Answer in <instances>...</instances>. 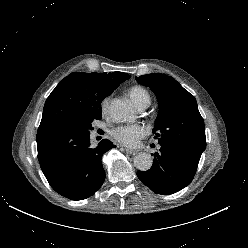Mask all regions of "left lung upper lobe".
Segmentation results:
<instances>
[{"mask_svg":"<svg viewBox=\"0 0 248 248\" xmlns=\"http://www.w3.org/2000/svg\"><path fill=\"white\" fill-rule=\"evenodd\" d=\"M136 80L157 97L160 110L153 133L159 144L177 147L199 161L206 148V137L195 97L165 74L142 75Z\"/></svg>","mask_w":248,"mask_h":248,"instance_id":"left-lung-upper-lobe-1","label":"left lung upper lobe"}]
</instances>
